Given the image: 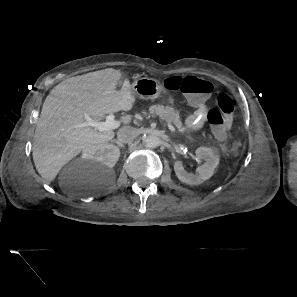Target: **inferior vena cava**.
<instances>
[{"instance_id":"602c4592","label":"inferior vena cava","mask_w":297,"mask_h":297,"mask_svg":"<svg viewBox=\"0 0 297 297\" xmlns=\"http://www.w3.org/2000/svg\"><path fill=\"white\" fill-rule=\"evenodd\" d=\"M138 136V131L133 127H124L117 132L118 141L122 143L133 142Z\"/></svg>"}]
</instances>
